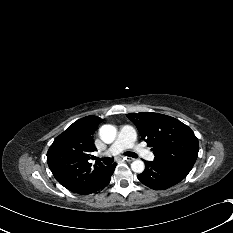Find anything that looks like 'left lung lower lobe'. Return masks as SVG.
Segmentation results:
<instances>
[{"label":"left lung lower lobe","instance_id":"1","mask_svg":"<svg viewBox=\"0 0 233 233\" xmlns=\"http://www.w3.org/2000/svg\"><path fill=\"white\" fill-rule=\"evenodd\" d=\"M145 166L144 172L137 178L141 183L154 190L167 189L185 178L154 161H145Z\"/></svg>","mask_w":233,"mask_h":233}]
</instances>
